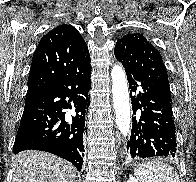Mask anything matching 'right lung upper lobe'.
<instances>
[{"mask_svg": "<svg viewBox=\"0 0 196 182\" xmlns=\"http://www.w3.org/2000/svg\"><path fill=\"white\" fill-rule=\"evenodd\" d=\"M89 59L76 28L62 24L50 30L33 54L25 105Z\"/></svg>", "mask_w": 196, "mask_h": 182, "instance_id": "obj_1", "label": "right lung upper lobe"}]
</instances>
